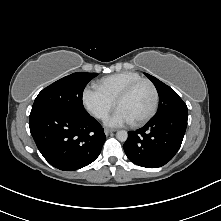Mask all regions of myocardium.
<instances>
[{"instance_id": "f54148a6", "label": "myocardium", "mask_w": 221, "mask_h": 221, "mask_svg": "<svg viewBox=\"0 0 221 221\" xmlns=\"http://www.w3.org/2000/svg\"><path fill=\"white\" fill-rule=\"evenodd\" d=\"M143 83H147L151 86L152 90H153V95H154V100H153V105L151 110L148 112V114H146L143 118L136 120V121H132V124L135 126H140L145 124L146 122H148L156 113L157 108H158V103H159V93H158V89L156 87V85L149 79L146 78H142L139 79L133 83H131L130 85H128L117 97L115 103L116 106L118 107L119 104L126 99L139 85L143 84Z\"/></svg>"}]
</instances>
